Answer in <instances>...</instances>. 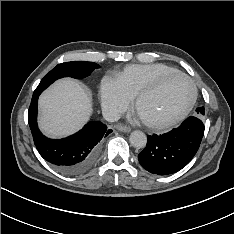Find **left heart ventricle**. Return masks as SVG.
<instances>
[{
    "instance_id": "obj_1",
    "label": "left heart ventricle",
    "mask_w": 234,
    "mask_h": 234,
    "mask_svg": "<svg viewBox=\"0 0 234 234\" xmlns=\"http://www.w3.org/2000/svg\"><path fill=\"white\" fill-rule=\"evenodd\" d=\"M191 97V84L182 77H173L141 101L139 115L152 121L173 117L187 106Z\"/></svg>"
}]
</instances>
